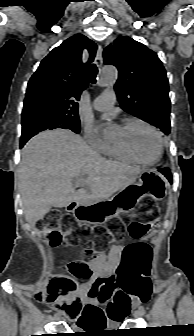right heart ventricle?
Listing matches in <instances>:
<instances>
[{
    "mask_svg": "<svg viewBox=\"0 0 194 336\" xmlns=\"http://www.w3.org/2000/svg\"><path fill=\"white\" fill-rule=\"evenodd\" d=\"M103 154L113 160L120 162H128V163L136 162L130 157H128L126 154H124L115 143H108Z\"/></svg>",
    "mask_w": 194,
    "mask_h": 336,
    "instance_id": "e07e8e85",
    "label": "right heart ventricle"
}]
</instances>
